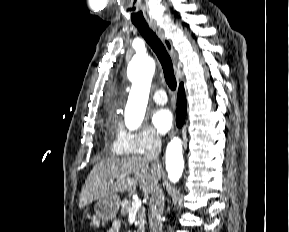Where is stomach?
<instances>
[{"label":"stomach","instance_id":"stomach-1","mask_svg":"<svg viewBox=\"0 0 289 232\" xmlns=\"http://www.w3.org/2000/svg\"><path fill=\"white\" fill-rule=\"evenodd\" d=\"M121 201L117 195L100 198L94 206L91 226L99 227L101 222L113 220L119 210Z\"/></svg>","mask_w":289,"mask_h":232}]
</instances>
